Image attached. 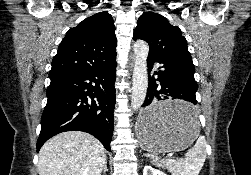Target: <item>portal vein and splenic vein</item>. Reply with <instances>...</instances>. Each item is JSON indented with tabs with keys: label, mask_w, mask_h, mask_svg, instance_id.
<instances>
[{
	"label": "portal vein and splenic vein",
	"mask_w": 251,
	"mask_h": 175,
	"mask_svg": "<svg viewBox=\"0 0 251 175\" xmlns=\"http://www.w3.org/2000/svg\"><path fill=\"white\" fill-rule=\"evenodd\" d=\"M176 155L175 151H169L168 153L165 154L166 158H173Z\"/></svg>",
	"instance_id": "1"
}]
</instances>
